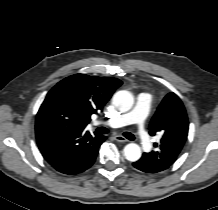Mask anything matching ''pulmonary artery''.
Listing matches in <instances>:
<instances>
[{
	"mask_svg": "<svg viewBox=\"0 0 218 210\" xmlns=\"http://www.w3.org/2000/svg\"><path fill=\"white\" fill-rule=\"evenodd\" d=\"M151 104V94L147 92L141 93L138 97L137 105L132 111L110 118L105 121V124L113 128L122 127L129 124H136V133L140 140L141 146L145 151H149L152 148V142L148 133L144 130L143 124L151 107Z\"/></svg>",
	"mask_w": 218,
	"mask_h": 210,
	"instance_id": "e3ab8cb5",
	"label": "pulmonary artery"
}]
</instances>
